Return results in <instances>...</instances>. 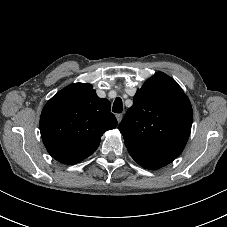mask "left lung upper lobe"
Returning a JSON list of instances; mask_svg holds the SVG:
<instances>
[{
	"mask_svg": "<svg viewBox=\"0 0 227 227\" xmlns=\"http://www.w3.org/2000/svg\"><path fill=\"white\" fill-rule=\"evenodd\" d=\"M192 120L188 97L174 79L158 72L137 90L118 129L131 157L142 167L155 170L181 154Z\"/></svg>",
	"mask_w": 227,
	"mask_h": 227,
	"instance_id": "obj_1",
	"label": "left lung upper lobe"
}]
</instances>
